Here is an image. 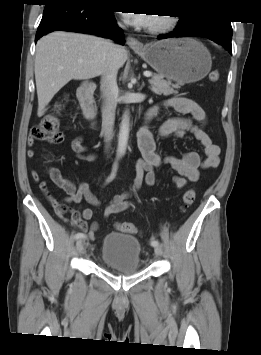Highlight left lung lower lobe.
Here are the masks:
<instances>
[{"instance_id": "0a47b994", "label": "left lung lower lobe", "mask_w": 261, "mask_h": 355, "mask_svg": "<svg viewBox=\"0 0 261 355\" xmlns=\"http://www.w3.org/2000/svg\"><path fill=\"white\" fill-rule=\"evenodd\" d=\"M186 18V17H184ZM203 37L224 46L232 53V27L229 20L216 18L180 19L179 24L171 34H161L158 39L172 37Z\"/></svg>"}]
</instances>
